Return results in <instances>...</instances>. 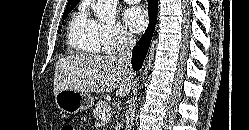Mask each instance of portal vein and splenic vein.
Wrapping results in <instances>:
<instances>
[{
  "label": "portal vein and splenic vein",
  "mask_w": 249,
  "mask_h": 130,
  "mask_svg": "<svg viewBox=\"0 0 249 130\" xmlns=\"http://www.w3.org/2000/svg\"><path fill=\"white\" fill-rule=\"evenodd\" d=\"M99 119L102 122H107L110 119V115L106 112H102L101 115L99 116Z\"/></svg>",
  "instance_id": "obj_1"
}]
</instances>
